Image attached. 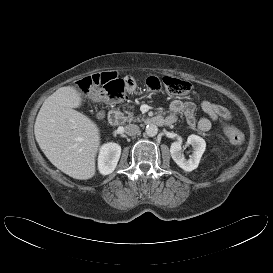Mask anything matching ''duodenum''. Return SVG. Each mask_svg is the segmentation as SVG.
Returning <instances> with one entry per match:
<instances>
[{
  "label": "duodenum",
  "mask_w": 273,
  "mask_h": 273,
  "mask_svg": "<svg viewBox=\"0 0 273 273\" xmlns=\"http://www.w3.org/2000/svg\"><path fill=\"white\" fill-rule=\"evenodd\" d=\"M120 113L116 109H112L109 111L107 119L111 126H117L120 122ZM148 124L156 125V126H164V125H171L170 122L161 115H156L147 120Z\"/></svg>",
  "instance_id": "1"
}]
</instances>
